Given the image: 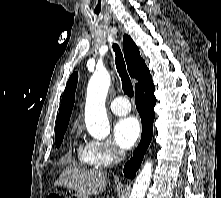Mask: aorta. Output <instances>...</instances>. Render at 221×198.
<instances>
[{
  "label": "aorta",
  "instance_id": "aorta-1",
  "mask_svg": "<svg viewBox=\"0 0 221 198\" xmlns=\"http://www.w3.org/2000/svg\"><path fill=\"white\" fill-rule=\"evenodd\" d=\"M110 86V75L98 69L91 76L86 94L85 123L88 132L97 139H105L110 133L105 101ZM152 176V162L147 161L133 185L129 198H144Z\"/></svg>",
  "mask_w": 221,
  "mask_h": 198
}]
</instances>
